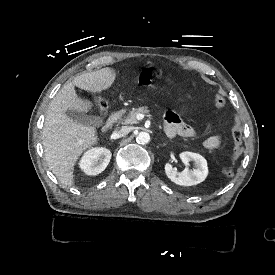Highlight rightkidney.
<instances>
[{"label": "right kidney", "mask_w": 275, "mask_h": 275, "mask_svg": "<svg viewBox=\"0 0 275 275\" xmlns=\"http://www.w3.org/2000/svg\"><path fill=\"white\" fill-rule=\"evenodd\" d=\"M111 156L109 149L103 147L91 148L82 156L79 167L87 175H97L106 169Z\"/></svg>", "instance_id": "ca27d5eb"}]
</instances>
